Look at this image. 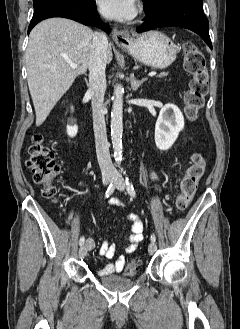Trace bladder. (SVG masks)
Segmentation results:
<instances>
[{
	"mask_svg": "<svg viewBox=\"0 0 240 329\" xmlns=\"http://www.w3.org/2000/svg\"><path fill=\"white\" fill-rule=\"evenodd\" d=\"M134 281L135 279L131 277L112 275L101 278L100 283L111 290H121L132 286Z\"/></svg>",
	"mask_w": 240,
	"mask_h": 329,
	"instance_id": "bladder-1",
	"label": "bladder"
}]
</instances>
